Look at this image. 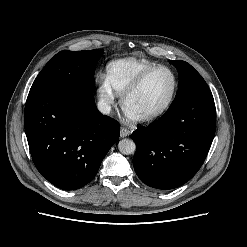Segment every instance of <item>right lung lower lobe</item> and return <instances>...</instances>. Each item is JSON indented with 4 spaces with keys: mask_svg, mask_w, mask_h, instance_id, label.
Here are the masks:
<instances>
[{
    "mask_svg": "<svg viewBox=\"0 0 247 247\" xmlns=\"http://www.w3.org/2000/svg\"><path fill=\"white\" fill-rule=\"evenodd\" d=\"M24 125L36 168L63 190L89 183L120 135L119 123L98 111L93 93L72 90L28 95Z\"/></svg>",
    "mask_w": 247,
    "mask_h": 247,
    "instance_id": "1",
    "label": "right lung lower lobe"
}]
</instances>
